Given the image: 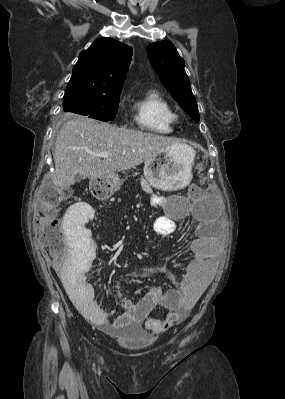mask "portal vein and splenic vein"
Returning <instances> with one entry per match:
<instances>
[{"instance_id":"obj_1","label":"portal vein and splenic vein","mask_w":285,"mask_h":399,"mask_svg":"<svg viewBox=\"0 0 285 399\" xmlns=\"http://www.w3.org/2000/svg\"><path fill=\"white\" fill-rule=\"evenodd\" d=\"M94 156L100 157V158H107L109 157V153L108 152H102V153H94Z\"/></svg>"}]
</instances>
